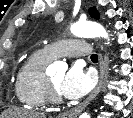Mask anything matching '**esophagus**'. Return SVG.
Segmentation results:
<instances>
[{"mask_svg":"<svg viewBox=\"0 0 133 118\" xmlns=\"http://www.w3.org/2000/svg\"><path fill=\"white\" fill-rule=\"evenodd\" d=\"M104 74H105V62H104L102 54L100 53L99 54V80H98L96 87L81 104L70 109L69 111L64 112L60 117L61 118L77 117L100 92L102 84H103V80H104Z\"/></svg>","mask_w":133,"mask_h":118,"instance_id":"34e87169","label":"esophagus"}]
</instances>
